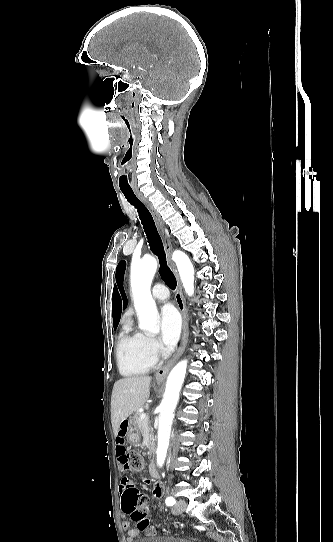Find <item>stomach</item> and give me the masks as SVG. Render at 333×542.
Returning a JSON list of instances; mask_svg holds the SVG:
<instances>
[{"mask_svg": "<svg viewBox=\"0 0 333 542\" xmlns=\"http://www.w3.org/2000/svg\"><path fill=\"white\" fill-rule=\"evenodd\" d=\"M140 440V434L137 430V426L134 420H129L127 424V442L136 446L137 442Z\"/></svg>", "mask_w": 333, "mask_h": 542, "instance_id": "obj_1", "label": "stomach"}]
</instances>
